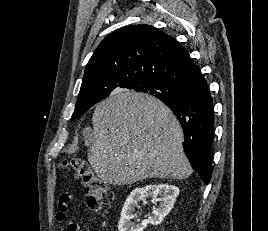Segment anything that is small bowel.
Masks as SVG:
<instances>
[{"mask_svg": "<svg viewBox=\"0 0 268 231\" xmlns=\"http://www.w3.org/2000/svg\"><path fill=\"white\" fill-rule=\"evenodd\" d=\"M71 198L72 196L70 194H61L59 196L56 221L65 227L67 231H81L80 225L71 220L68 216L67 205Z\"/></svg>", "mask_w": 268, "mask_h": 231, "instance_id": "c3829d8e", "label": "small bowel"}]
</instances>
